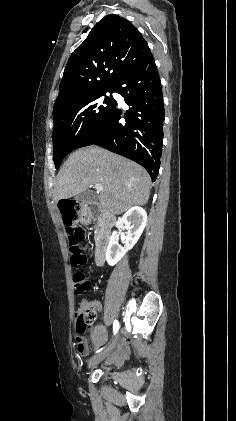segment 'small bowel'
I'll return each instance as SVG.
<instances>
[{
  "instance_id": "c3829d8e",
  "label": "small bowel",
  "mask_w": 236,
  "mask_h": 421,
  "mask_svg": "<svg viewBox=\"0 0 236 421\" xmlns=\"http://www.w3.org/2000/svg\"><path fill=\"white\" fill-rule=\"evenodd\" d=\"M82 305H90L94 309H97V310L101 309L100 303L96 301H93V302L84 301L82 302ZM100 329H103V328L101 326H97L95 327L94 331L91 333V340L96 346L101 344L105 340V335H104L103 339L100 342H96L97 333Z\"/></svg>"
}]
</instances>
